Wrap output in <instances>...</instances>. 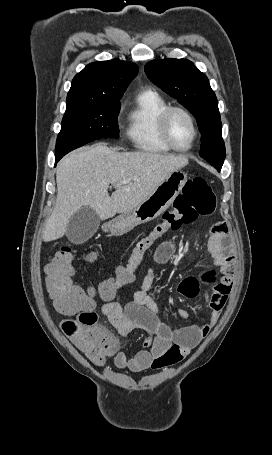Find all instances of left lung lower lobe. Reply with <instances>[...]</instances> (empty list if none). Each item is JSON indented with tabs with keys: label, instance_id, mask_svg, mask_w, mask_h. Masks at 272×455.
<instances>
[{
	"label": "left lung lower lobe",
	"instance_id": "1",
	"mask_svg": "<svg viewBox=\"0 0 272 455\" xmlns=\"http://www.w3.org/2000/svg\"><path fill=\"white\" fill-rule=\"evenodd\" d=\"M224 159H214L210 160L209 163L214 166L218 171L221 170V167L223 165Z\"/></svg>",
	"mask_w": 272,
	"mask_h": 455
}]
</instances>
